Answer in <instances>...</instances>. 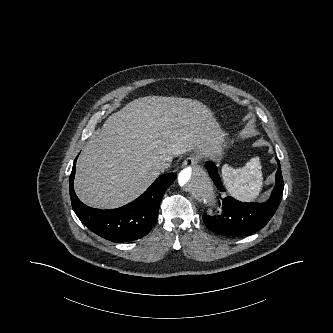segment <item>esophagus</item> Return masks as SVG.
Instances as JSON below:
<instances>
[{
	"instance_id": "esophagus-1",
	"label": "esophagus",
	"mask_w": 333,
	"mask_h": 333,
	"mask_svg": "<svg viewBox=\"0 0 333 333\" xmlns=\"http://www.w3.org/2000/svg\"><path fill=\"white\" fill-rule=\"evenodd\" d=\"M199 155L198 154H191L189 157H187L184 162L183 165L184 166H193L196 165L199 162Z\"/></svg>"
}]
</instances>
